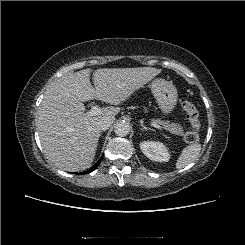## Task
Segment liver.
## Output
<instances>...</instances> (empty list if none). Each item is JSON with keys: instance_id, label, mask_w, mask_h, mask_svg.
<instances>
[{"instance_id": "6515ba94", "label": "liver", "mask_w": 245, "mask_h": 245, "mask_svg": "<svg viewBox=\"0 0 245 245\" xmlns=\"http://www.w3.org/2000/svg\"><path fill=\"white\" fill-rule=\"evenodd\" d=\"M161 69L153 67L101 68L68 73L45 92L38 110L37 128L43 151L58 168L69 172L89 168L95 158L102 117L117 115L119 107H106L86 117L83 102L97 99L119 105L151 81Z\"/></svg>"}]
</instances>
